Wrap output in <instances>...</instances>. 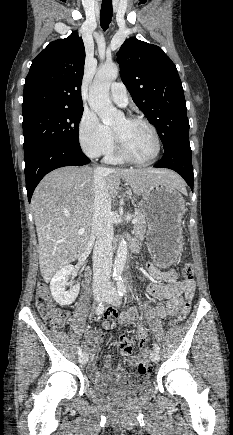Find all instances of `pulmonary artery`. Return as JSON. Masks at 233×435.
<instances>
[{"label": "pulmonary artery", "instance_id": "1", "mask_svg": "<svg viewBox=\"0 0 233 435\" xmlns=\"http://www.w3.org/2000/svg\"><path fill=\"white\" fill-rule=\"evenodd\" d=\"M110 97L120 106H126L128 104V94L126 88L120 82H115L111 85Z\"/></svg>", "mask_w": 233, "mask_h": 435}]
</instances>
